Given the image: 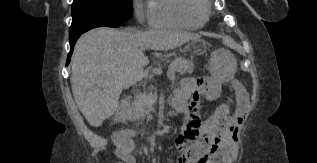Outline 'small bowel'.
Here are the masks:
<instances>
[{"mask_svg": "<svg viewBox=\"0 0 317 163\" xmlns=\"http://www.w3.org/2000/svg\"><path fill=\"white\" fill-rule=\"evenodd\" d=\"M220 82L212 77L186 79L174 90L172 107L183 112L182 130L175 139L179 153L177 163H230L235 157L238 131L245 121L250 105L248 95L238 102L233 114L221 107L211 125L200 118L201 101L215 100ZM244 91V90H243ZM132 132L118 136L117 155L120 163H137Z\"/></svg>", "mask_w": 317, "mask_h": 163, "instance_id": "small-bowel-1", "label": "small bowel"}]
</instances>
